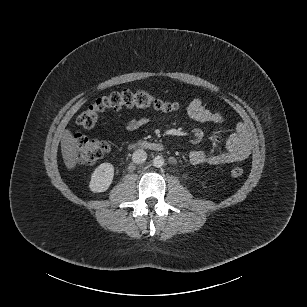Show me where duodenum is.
<instances>
[{"instance_id":"410a0bca","label":"duodenum","mask_w":307,"mask_h":307,"mask_svg":"<svg viewBox=\"0 0 307 307\" xmlns=\"http://www.w3.org/2000/svg\"><path fill=\"white\" fill-rule=\"evenodd\" d=\"M142 146L149 148L151 150L155 151H161L163 149V146L159 143H152V142H147V141H142L140 143Z\"/></svg>"}]
</instances>
